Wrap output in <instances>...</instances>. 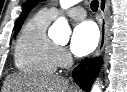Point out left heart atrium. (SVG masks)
Listing matches in <instances>:
<instances>
[{"label":"left heart atrium","mask_w":127,"mask_h":92,"mask_svg":"<svg viewBox=\"0 0 127 92\" xmlns=\"http://www.w3.org/2000/svg\"><path fill=\"white\" fill-rule=\"evenodd\" d=\"M99 41V32L91 21L79 23L73 30L71 37V50L77 56L90 54Z\"/></svg>","instance_id":"39dd6f15"}]
</instances>
